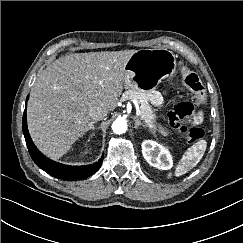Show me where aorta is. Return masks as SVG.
<instances>
[{"label": "aorta", "instance_id": "762f6f07", "mask_svg": "<svg viewBox=\"0 0 243 243\" xmlns=\"http://www.w3.org/2000/svg\"><path fill=\"white\" fill-rule=\"evenodd\" d=\"M112 130L115 134H123L127 130V123L124 119H116L112 124Z\"/></svg>", "mask_w": 243, "mask_h": 243}]
</instances>
